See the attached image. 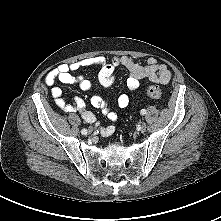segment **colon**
<instances>
[{
    "instance_id": "1",
    "label": "colon",
    "mask_w": 221,
    "mask_h": 221,
    "mask_svg": "<svg viewBox=\"0 0 221 221\" xmlns=\"http://www.w3.org/2000/svg\"><path fill=\"white\" fill-rule=\"evenodd\" d=\"M146 95L152 99H160L163 96V90L156 85H150L145 90Z\"/></svg>"
}]
</instances>
